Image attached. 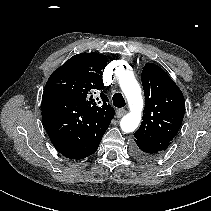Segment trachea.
I'll use <instances>...</instances> for the list:
<instances>
[{
	"label": "trachea",
	"mask_w": 211,
	"mask_h": 211,
	"mask_svg": "<svg viewBox=\"0 0 211 211\" xmlns=\"http://www.w3.org/2000/svg\"><path fill=\"white\" fill-rule=\"evenodd\" d=\"M113 105L117 108H122L126 105L125 99L120 93H115L112 97Z\"/></svg>",
	"instance_id": "1"
}]
</instances>
